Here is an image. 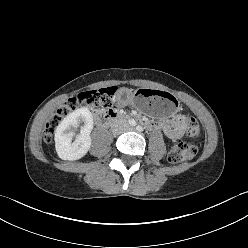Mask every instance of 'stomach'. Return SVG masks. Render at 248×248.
Wrapping results in <instances>:
<instances>
[{"label":"stomach","instance_id":"0dacf381","mask_svg":"<svg viewBox=\"0 0 248 248\" xmlns=\"http://www.w3.org/2000/svg\"><path fill=\"white\" fill-rule=\"evenodd\" d=\"M114 102L119 107L132 105L142 114L159 118L174 115L179 104L173 95L161 92L153 86L138 88L132 92L128 88H119L114 93Z\"/></svg>","mask_w":248,"mask_h":248}]
</instances>
